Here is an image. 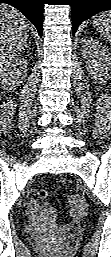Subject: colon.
<instances>
[{
    "instance_id": "colon-1",
    "label": "colon",
    "mask_w": 111,
    "mask_h": 257,
    "mask_svg": "<svg viewBox=\"0 0 111 257\" xmlns=\"http://www.w3.org/2000/svg\"><path fill=\"white\" fill-rule=\"evenodd\" d=\"M37 197L39 199V207L42 210H48L50 209L51 205L48 200L49 198V191L46 188H42L37 192Z\"/></svg>"
}]
</instances>
